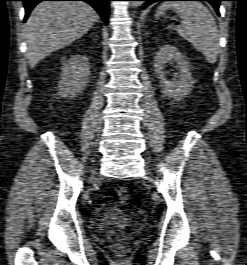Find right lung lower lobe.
I'll use <instances>...</instances> for the list:
<instances>
[{"instance_id": "98d812e1", "label": "right lung lower lobe", "mask_w": 247, "mask_h": 265, "mask_svg": "<svg viewBox=\"0 0 247 265\" xmlns=\"http://www.w3.org/2000/svg\"><path fill=\"white\" fill-rule=\"evenodd\" d=\"M25 7V18L24 21L28 18L31 10L42 1H85L90 4L96 11L100 14L101 18L106 24H108L109 16V1L112 0H22Z\"/></svg>"}]
</instances>
